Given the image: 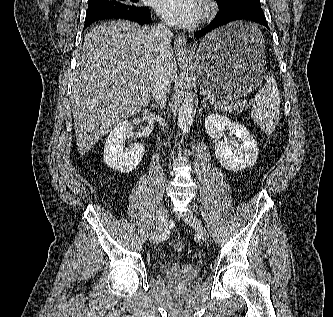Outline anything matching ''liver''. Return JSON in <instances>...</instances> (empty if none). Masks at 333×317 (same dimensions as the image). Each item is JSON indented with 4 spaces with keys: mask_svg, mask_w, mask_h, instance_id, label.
Returning a JSON list of instances; mask_svg holds the SVG:
<instances>
[{
    "mask_svg": "<svg viewBox=\"0 0 333 317\" xmlns=\"http://www.w3.org/2000/svg\"><path fill=\"white\" fill-rule=\"evenodd\" d=\"M160 70L177 74L173 51L159 50L152 28L110 21L87 33L72 83L78 152L84 155L114 126L146 107Z\"/></svg>",
    "mask_w": 333,
    "mask_h": 317,
    "instance_id": "liver-1",
    "label": "liver"
}]
</instances>
